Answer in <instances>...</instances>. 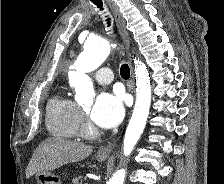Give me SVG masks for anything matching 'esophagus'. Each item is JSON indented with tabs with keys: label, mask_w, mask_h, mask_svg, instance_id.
Returning <instances> with one entry per match:
<instances>
[{
	"label": "esophagus",
	"mask_w": 224,
	"mask_h": 184,
	"mask_svg": "<svg viewBox=\"0 0 224 184\" xmlns=\"http://www.w3.org/2000/svg\"><path fill=\"white\" fill-rule=\"evenodd\" d=\"M109 3V6L113 12L119 33L123 39V42L125 44V47L127 50L130 48V37L129 33L127 31L126 25L124 18L122 17V14L120 13L119 8L115 5V3L112 0H107ZM130 69H131V84H130V89L133 92L134 90V76H133V71H132V65L130 63ZM116 141H113L112 143H109L108 145L102 147L98 151V155L100 156H108L112 152L113 148L115 147Z\"/></svg>",
	"instance_id": "obj_1"
}]
</instances>
